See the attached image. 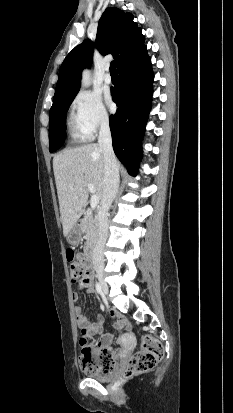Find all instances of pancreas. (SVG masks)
<instances>
[{
	"mask_svg": "<svg viewBox=\"0 0 233 413\" xmlns=\"http://www.w3.org/2000/svg\"><path fill=\"white\" fill-rule=\"evenodd\" d=\"M83 233L86 234L87 242L94 243L98 236V220L93 214H87L80 223Z\"/></svg>",
	"mask_w": 233,
	"mask_h": 413,
	"instance_id": "obj_1",
	"label": "pancreas"
}]
</instances>
